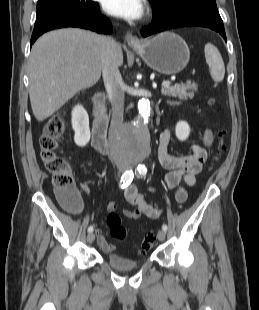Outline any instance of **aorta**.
I'll return each instance as SVG.
<instances>
[{
    "instance_id": "762f6f07",
    "label": "aorta",
    "mask_w": 259,
    "mask_h": 310,
    "mask_svg": "<svg viewBox=\"0 0 259 310\" xmlns=\"http://www.w3.org/2000/svg\"><path fill=\"white\" fill-rule=\"evenodd\" d=\"M136 110V118L122 129L118 145L129 159L142 160L150 153V133L147 127L151 114L150 101L140 99Z\"/></svg>"
}]
</instances>
